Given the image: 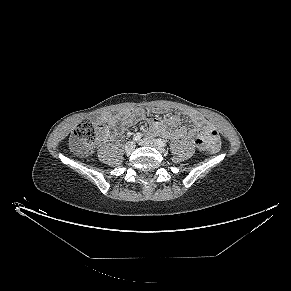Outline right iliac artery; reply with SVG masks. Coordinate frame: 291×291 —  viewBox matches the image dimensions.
Masks as SVG:
<instances>
[{
  "label": "right iliac artery",
  "mask_w": 291,
  "mask_h": 291,
  "mask_svg": "<svg viewBox=\"0 0 291 291\" xmlns=\"http://www.w3.org/2000/svg\"><path fill=\"white\" fill-rule=\"evenodd\" d=\"M142 137V134L141 133H136L134 136H133V140L134 141H139Z\"/></svg>",
  "instance_id": "obj_1"
}]
</instances>
